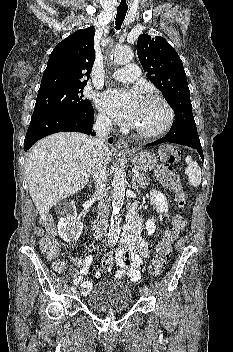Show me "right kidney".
<instances>
[{
	"mask_svg": "<svg viewBox=\"0 0 233 352\" xmlns=\"http://www.w3.org/2000/svg\"><path fill=\"white\" fill-rule=\"evenodd\" d=\"M71 208L73 212L61 217L57 225L59 236L68 243L78 240L83 230V223L77 218L73 203Z\"/></svg>",
	"mask_w": 233,
	"mask_h": 352,
	"instance_id": "obj_1",
	"label": "right kidney"
}]
</instances>
